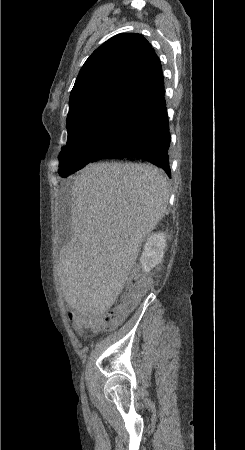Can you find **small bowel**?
<instances>
[{
  "label": "small bowel",
  "instance_id": "obj_1",
  "mask_svg": "<svg viewBox=\"0 0 245 450\" xmlns=\"http://www.w3.org/2000/svg\"><path fill=\"white\" fill-rule=\"evenodd\" d=\"M75 283H77L76 280L73 281V284H75ZM68 318L71 320V322H72L74 328H75L77 331H80V332H81V329H80L79 326H80L81 321H82V316H81L80 314H78L77 312H75L74 310H69V312H68Z\"/></svg>",
  "mask_w": 245,
  "mask_h": 450
}]
</instances>
